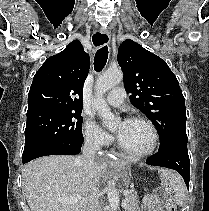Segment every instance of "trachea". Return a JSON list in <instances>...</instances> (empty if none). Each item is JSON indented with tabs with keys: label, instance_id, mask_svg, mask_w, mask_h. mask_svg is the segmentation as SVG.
I'll return each instance as SVG.
<instances>
[{
	"label": "trachea",
	"instance_id": "trachea-1",
	"mask_svg": "<svg viewBox=\"0 0 209 211\" xmlns=\"http://www.w3.org/2000/svg\"><path fill=\"white\" fill-rule=\"evenodd\" d=\"M107 59H108V47L103 46L95 54V58H94L95 71L97 72L101 71L106 64Z\"/></svg>",
	"mask_w": 209,
	"mask_h": 211
}]
</instances>
